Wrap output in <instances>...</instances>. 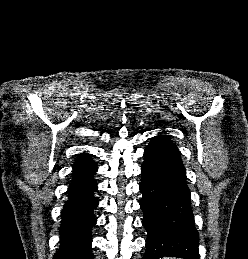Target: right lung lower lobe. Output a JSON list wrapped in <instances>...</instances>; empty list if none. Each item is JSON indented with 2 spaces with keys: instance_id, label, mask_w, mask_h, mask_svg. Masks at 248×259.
<instances>
[{
  "instance_id": "1",
  "label": "right lung lower lobe",
  "mask_w": 248,
  "mask_h": 259,
  "mask_svg": "<svg viewBox=\"0 0 248 259\" xmlns=\"http://www.w3.org/2000/svg\"><path fill=\"white\" fill-rule=\"evenodd\" d=\"M96 171L90 155L80 157L73 165L68 201L61 214V245L54 259H93L91 228L96 224L93 210L98 206L93 196L97 190L93 179Z\"/></svg>"
}]
</instances>
